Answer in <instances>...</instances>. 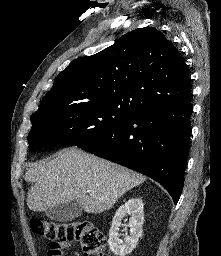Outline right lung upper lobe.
I'll return each instance as SVG.
<instances>
[{
    "label": "right lung upper lobe",
    "mask_w": 221,
    "mask_h": 256,
    "mask_svg": "<svg viewBox=\"0 0 221 256\" xmlns=\"http://www.w3.org/2000/svg\"><path fill=\"white\" fill-rule=\"evenodd\" d=\"M190 90L178 50L163 33L144 27L97 54L73 60L33 115L80 104H110L137 114L182 102L191 97Z\"/></svg>",
    "instance_id": "cb5924a9"
}]
</instances>
